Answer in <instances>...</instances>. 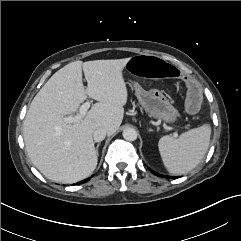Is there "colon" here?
I'll list each match as a JSON object with an SVG mask.
<instances>
[{
  "instance_id": "colon-1",
  "label": "colon",
  "mask_w": 241,
  "mask_h": 241,
  "mask_svg": "<svg viewBox=\"0 0 241 241\" xmlns=\"http://www.w3.org/2000/svg\"><path fill=\"white\" fill-rule=\"evenodd\" d=\"M127 68L135 74H141L145 77H156L159 79L176 80L183 78L186 81V88L191 91L187 99V109L191 113L199 111L201 98L199 93L201 89L196 83H193L181 75V68L176 63L164 62L159 57L153 56H132L127 61Z\"/></svg>"
}]
</instances>
